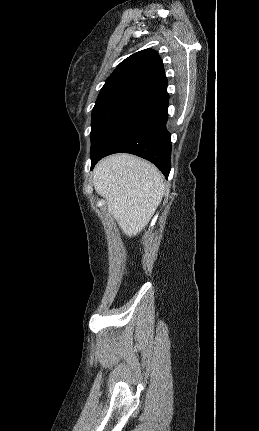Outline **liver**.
Instances as JSON below:
<instances>
[{
	"label": "liver",
	"mask_w": 259,
	"mask_h": 431,
	"mask_svg": "<svg viewBox=\"0 0 259 431\" xmlns=\"http://www.w3.org/2000/svg\"><path fill=\"white\" fill-rule=\"evenodd\" d=\"M93 185L125 235L136 236L149 223L164 194V177L151 163L129 154L102 159Z\"/></svg>",
	"instance_id": "obj_1"
}]
</instances>
